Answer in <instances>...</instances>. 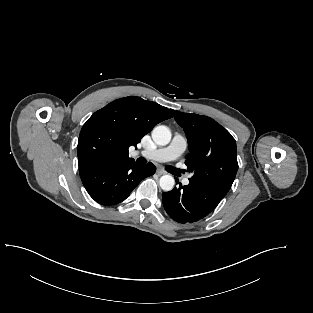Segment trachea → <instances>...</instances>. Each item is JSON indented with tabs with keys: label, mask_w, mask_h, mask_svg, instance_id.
<instances>
[{
	"label": "trachea",
	"mask_w": 313,
	"mask_h": 313,
	"mask_svg": "<svg viewBox=\"0 0 313 313\" xmlns=\"http://www.w3.org/2000/svg\"><path fill=\"white\" fill-rule=\"evenodd\" d=\"M137 161H138L139 163H142V164H144V163L147 162V160H146L145 158H143V157L138 158ZM167 169H169V167H167Z\"/></svg>",
	"instance_id": "trachea-1"
}]
</instances>
